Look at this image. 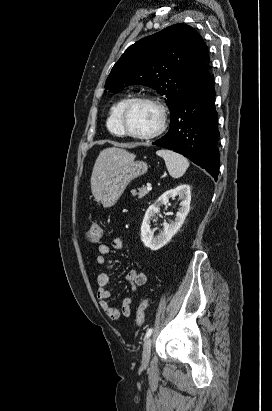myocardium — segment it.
Returning a JSON list of instances; mask_svg holds the SVG:
<instances>
[{"label":"myocardium","mask_w":272,"mask_h":411,"mask_svg":"<svg viewBox=\"0 0 272 411\" xmlns=\"http://www.w3.org/2000/svg\"><path fill=\"white\" fill-rule=\"evenodd\" d=\"M136 103H147L150 104L152 106H154L159 113V124L157 126V128L148 134H135L130 132L125 125V117L126 114L128 112V110L130 109V107ZM167 111L164 107V105L156 98L153 97H148V96H138V97H132L129 98L126 103L123 105V107L120 110L119 113V126L120 129L122 131L123 136L135 139V140H152L155 139L157 137H159L160 135H162L166 128H167Z\"/></svg>","instance_id":"f54148a6"}]
</instances>
